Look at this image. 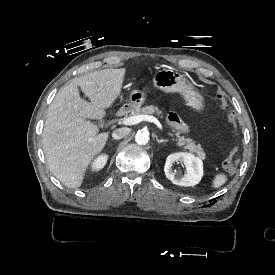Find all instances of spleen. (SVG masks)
<instances>
[{"instance_id":"1","label":"spleen","mask_w":275,"mask_h":275,"mask_svg":"<svg viewBox=\"0 0 275 275\" xmlns=\"http://www.w3.org/2000/svg\"><path fill=\"white\" fill-rule=\"evenodd\" d=\"M229 180L228 175L225 172H217L211 181V187L213 189H218L224 186Z\"/></svg>"}]
</instances>
